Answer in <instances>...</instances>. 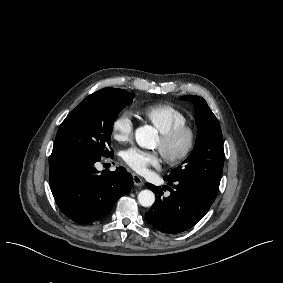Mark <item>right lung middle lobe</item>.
<instances>
[{"instance_id":"right-lung-middle-lobe-1","label":"right lung middle lobe","mask_w":283,"mask_h":283,"mask_svg":"<svg viewBox=\"0 0 283 283\" xmlns=\"http://www.w3.org/2000/svg\"><path fill=\"white\" fill-rule=\"evenodd\" d=\"M132 98L126 90L116 88L85 98L60 125L50 160L112 155L108 148L114 121Z\"/></svg>"}]
</instances>
